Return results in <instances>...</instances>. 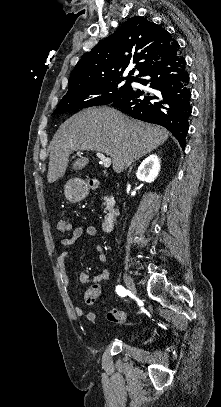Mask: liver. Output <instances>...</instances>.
Masks as SVG:
<instances>
[{
	"mask_svg": "<svg viewBox=\"0 0 221 407\" xmlns=\"http://www.w3.org/2000/svg\"><path fill=\"white\" fill-rule=\"evenodd\" d=\"M168 136L165 128L130 119L110 107L85 109L67 119L50 142L48 183L64 176L73 151L102 152L112 159L113 170L121 173ZM88 163L87 157H80L72 169L82 170Z\"/></svg>",
	"mask_w": 221,
	"mask_h": 407,
	"instance_id": "obj_1",
	"label": "liver"
}]
</instances>
